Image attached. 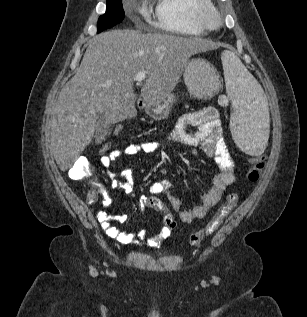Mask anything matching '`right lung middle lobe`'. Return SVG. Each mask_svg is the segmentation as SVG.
I'll list each match as a JSON object with an SVG mask.
<instances>
[{
	"instance_id": "obj_1",
	"label": "right lung middle lobe",
	"mask_w": 307,
	"mask_h": 317,
	"mask_svg": "<svg viewBox=\"0 0 307 317\" xmlns=\"http://www.w3.org/2000/svg\"><path fill=\"white\" fill-rule=\"evenodd\" d=\"M125 13L123 10L121 0H107V8L105 14L101 15L98 19L97 33L111 28L116 24L122 22Z\"/></svg>"
}]
</instances>
